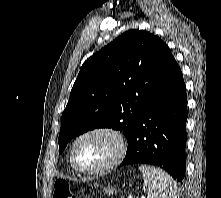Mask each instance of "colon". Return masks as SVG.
I'll return each mask as SVG.
<instances>
[{
  "instance_id": "colon-1",
  "label": "colon",
  "mask_w": 221,
  "mask_h": 198,
  "mask_svg": "<svg viewBox=\"0 0 221 198\" xmlns=\"http://www.w3.org/2000/svg\"><path fill=\"white\" fill-rule=\"evenodd\" d=\"M53 198H77L65 180H58L54 185Z\"/></svg>"
}]
</instances>
